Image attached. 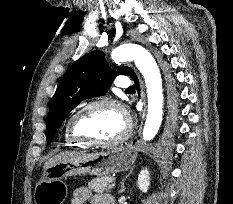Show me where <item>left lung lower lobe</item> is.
<instances>
[{"label":"left lung lower lobe","mask_w":233,"mask_h":204,"mask_svg":"<svg viewBox=\"0 0 233 204\" xmlns=\"http://www.w3.org/2000/svg\"><path fill=\"white\" fill-rule=\"evenodd\" d=\"M131 77L133 78V80H134V82H135V85H136V88L138 89L139 81H138L136 75L134 74V75H132Z\"/></svg>","instance_id":"1"}]
</instances>
